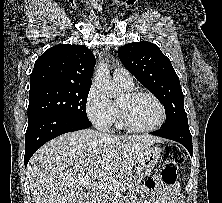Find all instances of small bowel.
Listing matches in <instances>:
<instances>
[{
    "label": "small bowel",
    "instance_id": "obj_1",
    "mask_svg": "<svg viewBox=\"0 0 222 203\" xmlns=\"http://www.w3.org/2000/svg\"><path fill=\"white\" fill-rule=\"evenodd\" d=\"M151 195L154 202L160 203H182L180 201V189L177 184H165L158 176L150 179L137 190L138 199ZM133 203H140L138 200Z\"/></svg>",
    "mask_w": 222,
    "mask_h": 203
}]
</instances>
